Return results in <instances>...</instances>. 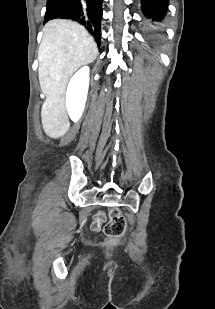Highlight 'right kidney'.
Returning <instances> with one entry per match:
<instances>
[{"label":"right kidney","instance_id":"ca27d5eb","mask_svg":"<svg viewBox=\"0 0 215 309\" xmlns=\"http://www.w3.org/2000/svg\"><path fill=\"white\" fill-rule=\"evenodd\" d=\"M89 72V66H82L73 74L67 86L66 108L71 120H74V122L79 120L85 108L89 86Z\"/></svg>","mask_w":215,"mask_h":309}]
</instances>
